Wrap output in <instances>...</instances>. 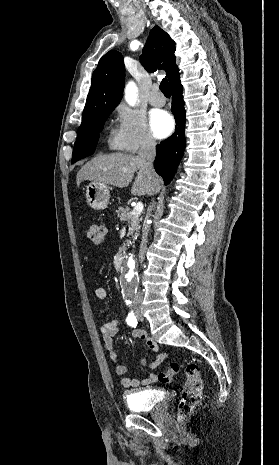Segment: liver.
I'll list each match as a JSON object with an SVG mask.
<instances>
[{
    "label": "liver",
    "instance_id": "1",
    "mask_svg": "<svg viewBox=\"0 0 279 465\" xmlns=\"http://www.w3.org/2000/svg\"><path fill=\"white\" fill-rule=\"evenodd\" d=\"M135 172L137 177L131 189L133 195H149L160 190L159 177L151 173L138 156L123 153L95 156L78 171L76 183L80 186L82 181L88 180L124 188L131 183Z\"/></svg>",
    "mask_w": 279,
    "mask_h": 465
}]
</instances>
